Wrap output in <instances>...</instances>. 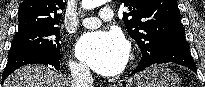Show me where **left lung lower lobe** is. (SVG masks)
<instances>
[{"label": "left lung lower lobe", "instance_id": "left-lung-lower-lobe-1", "mask_svg": "<svg viewBox=\"0 0 205 87\" xmlns=\"http://www.w3.org/2000/svg\"><path fill=\"white\" fill-rule=\"evenodd\" d=\"M170 62L188 67L196 72V65L190 54L189 44L184 37V33H178L166 38L161 44L158 54L151 58L141 59L131 75L144 70L150 65Z\"/></svg>", "mask_w": 205, "mask_h": 87}]
</instances>
